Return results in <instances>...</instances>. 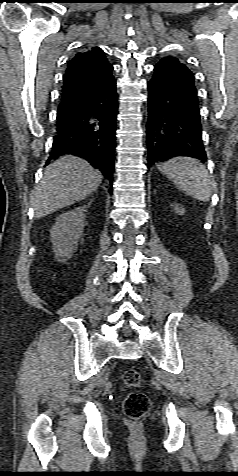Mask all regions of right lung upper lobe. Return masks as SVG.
Listing matches in <instances>:
<instances>
[{
	"label": "right lung upper lobe",
	"instance_id": "1",
	"mask_svg": "<svg viewBox=\"0 0 238 476\" xmlns=\"http://www.w3.org/2000/svg\"><path fill=\"white\" fill-rule=\"evenodd\" d=\"M112 70L99 47L77 53L67 64L58 111L77 106L100 92L114 78Z\"/></svg>",
	"mask_w": 238,
	"mask_h": 476
}]
</instances>
